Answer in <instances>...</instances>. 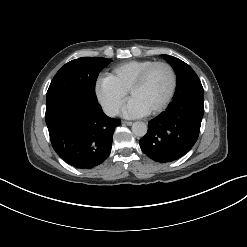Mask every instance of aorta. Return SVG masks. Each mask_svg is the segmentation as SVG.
<instances>
[{
    "instance_id": "obj_1",
    "label": "aorta",
    "mask_w": 247,
    "mask_h": 247,
    "mask_svg": "<svg viewBox=\"0 0 247 247\" xmlns=\"http://www.w3.org/2000/svg\"><path fill=\"white\" fill-rule=\"evenodd\" d=\"M132 132L138 137H142L147 133V125L144 122L137 121L132 125Z\"/></svg>"
}]
</instances>
